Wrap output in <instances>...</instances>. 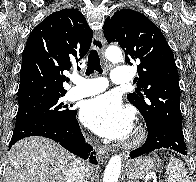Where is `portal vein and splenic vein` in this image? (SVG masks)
Wrapping results in <instances>:
<instances>
[{
  "label": "portal vein and splenic vein",
  "instance_id": "1",
  "mask_svg": "<svg viewBox=\"0 0 196 182\" xmlns=\"http://www.w3.org/2000/svg\"><path fill=\"white\" fill-rule=\"evenodd\" d=\"M157 181V179L154 177V182H156Z\"/></svg>",
  "mask_w": 196,
  "mask_h": 182
}]
</instances>
